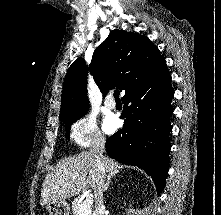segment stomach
Here are the masks:
<instances>
[{"mask_svg":"<svg viewBox=\"0 0 221 215\" xmlns=\"http://www.w3.org/2000/svg\"><path fill=\"white\" fill-rule=\"evenodd\" d=\"M46 209L49 215H69V205L65 200L49 203Z\"/></svg>","mask_w":221,"mask_h":215,"instance_id":"1","label":"stomach"}]
</instances>
